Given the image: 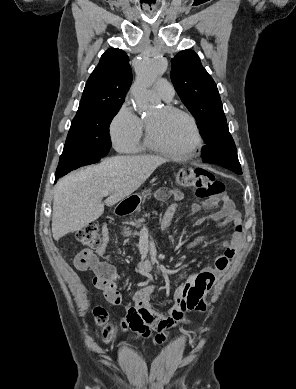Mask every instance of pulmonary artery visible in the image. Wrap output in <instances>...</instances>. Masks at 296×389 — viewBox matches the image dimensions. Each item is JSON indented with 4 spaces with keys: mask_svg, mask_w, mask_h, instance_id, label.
Wrapping results in <instances>:
<instances>
[{
    "mask_svg": "<svg viewBox=\"0 0 296 389\" xmlns=\"http://www.w3.org/2000/svg\"><path fill=\"white\" fill-rule=\"evenodd\" d=\"M154 91L164 100L169 101L174 96V89L166 79H159L154 84Z\"/></svg>",
    "mask_w": 296,
    "mask_h": 389,
    "instance_id": "1",
    "label": "pulmonary artery"
}]
</instances>
